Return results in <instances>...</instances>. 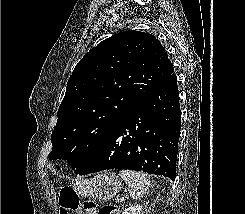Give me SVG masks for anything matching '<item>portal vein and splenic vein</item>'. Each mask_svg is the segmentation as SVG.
Segmentation results:
<instances>
[{
  "label": "portal vein and splenic vein",
  "instance_id": "obj_1",
  "mask_svg": "<svg viewBox=\"0 0 245 214\" xmlns=\"http://www.w3.org/2000/svg\"><path fill=\"white\" fill-rule=\"evenodd\" d=\"M125 198H126V196L125 197H121L120 199H118V202H124Z\"/></svg>",
  "mask_w": 245,
  "mask_h": 214
}]
</instances>
